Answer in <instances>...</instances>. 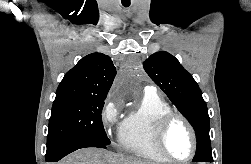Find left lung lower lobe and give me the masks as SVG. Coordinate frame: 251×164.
<instances>
[{
    "label": "left lung lower lobe",
    "mask_w": 251,
    "mask_h": 164,
    "mask_svg": "<svg viewBox=\"0 0 251 164\" xmlns=\"http://www.w3.org/2000/svg\"><path fill=\"white\" fill-rule=\"evenodd\" d=\"M193 162H196V161H193ZM203 162H212V161H203Z\"/></svg>",
    "instance_id": "left-lung-lower-lobe-1"
}]
</instances>
